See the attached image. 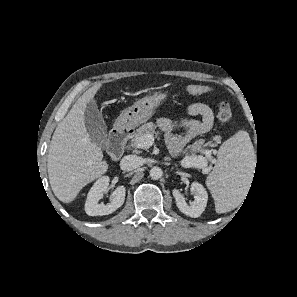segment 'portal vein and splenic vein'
<instances>
[{
    "instance_id": "1",
    "label": "portal vein and splenic vein",
    "mask_w": 297,
    "mask_h": 297,
    "mask_svg": "<svg viewBox=\"0 0 297 297\" xmlns=\"http://www.w3.org/2000/svg\"><path fill=\"white\" fill-rule=\"evenodd\" d=\"M154 143V136L152 134H145L144 136L140 137L136 144L139 148H149ZM197 159H202L201 157H192L190 158L191 162L196 163L198 162Z\"/></svg>"
}]
</instances>
